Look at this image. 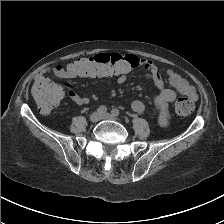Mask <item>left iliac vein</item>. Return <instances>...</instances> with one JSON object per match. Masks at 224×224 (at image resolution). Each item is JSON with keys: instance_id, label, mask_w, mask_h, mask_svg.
<instances>
[{"instance_id": "left-iliac-vein-1", "label": "left iliac vein", "mask_w": 224, "mask_h": 224, "mask_svg": "<svg viewBox=\"0 0 224 224\" xmlns=\"http://www.w3.org/2000/svg\"><path fill=\"white\" fill-rule=\"evenodd\" d=\"M102 119H116V117L113 116L112 114L105 113L102 115Z\"/></svg>"}]
</instances>
